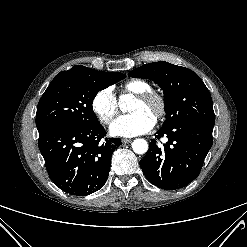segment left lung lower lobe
<instances>
[{"label": "left lung lower lobe", "mask_w": 247, "mask_h": 247, "mask_svg": "<svg viewBox=\"0 0 247 247\" xmlns=\"http://www.w3.org/2000/svg\"><path fill=\"white\" fill-rule=\"evenodd\" d=\"M213 128L195 122H181L161 128L156 138L167 136L163 147L152 139L149 150L140 161L149 182L159 188L175 190L196 179L210 150Z\"/></svg>", "instance_id": "0a47b994"}]
</instances>
